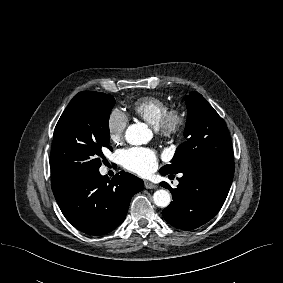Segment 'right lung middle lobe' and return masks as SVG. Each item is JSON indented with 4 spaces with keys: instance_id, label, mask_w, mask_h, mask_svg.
Returning <instances> with one entry per match:
<instances>
[{
    "instance_id": "obj_1",
    "label": "right lung middle lobe",
    "mask_w": 283,
    "mask_h": 283,
    "mask_svg": "<svg viewBox=\"0 0 283 283\" xmlns=\"http://www.w3.org/2000/svg\"><path fill=\"white\" fill-rule=\"evenodd\" d=\"M115 99L99 92L83 91L73 97L61 115L51 148L52 190L99 170L108 147L109 116Z\"/></svg>"
}]
</instances>
